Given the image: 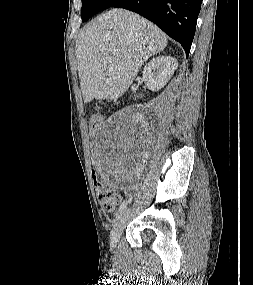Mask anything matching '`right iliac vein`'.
<instances>
[{"label": "right iliac vein", "mask_w": 253, "mask_h": 285, "mask_svg": "<svg viewBox=\"0 0 253 285\" xmlns=\"http://www.w3.org/2000/svg\"><path fill=\"white\" fill-rule=\"evenodd\" d=\"M128 214H129L128 209L123 211L119 215L117 221L115 222L113 229L111 231V234H110V246H111V248H115L117 246V243H118L120 236L123 232L126 220L128 218Z\"/></svg>", "instance_id": "63e3f726"}]
</instances>
